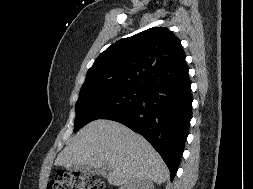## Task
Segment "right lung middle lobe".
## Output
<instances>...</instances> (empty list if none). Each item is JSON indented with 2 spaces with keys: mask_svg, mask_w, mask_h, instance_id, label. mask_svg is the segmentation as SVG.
Masks as SVG:
<instances>
[{
  "mask_svg": "<svg viewBox=\"0 0 253 189\" xmlns=\"http://www.w3.org/2000/svg\"><path fill=\"white\" fill-rule=\"evenodd\" d=\"M143 95L144 91L125 86L102 87L80 93L75 106L74 132L91 121L108 118L135 106Z\"/></svg>",
  "mask_w": 253,
  "mask_h": 189,
  "instance_id": "dd1d6c3e",
  "label": "right lung middle lobe"
}]
</instances>
